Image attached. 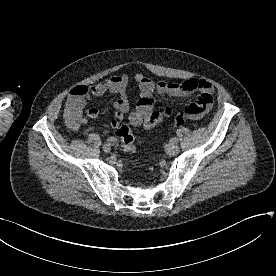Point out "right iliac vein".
Returning a JSON list of instances; mask_svg holds the SVG:
<instances>
[{
    "label": "right iliac vein",
    "mask_w": 276,
    "mask_h": 276,
    "mask_svg": "<svg viewBox=\"0 0 276 276\" xmlns=\"http://www.w3.org/2000/svg\"><path fill=\"white\" fill-rule=\"evenodd\" d=\"M103 150H104L106 153L110 152V151H111V145H110L109 143L104 144Z\"/></svg>",
    "instance_id": "63e3f726"
}]
</instances>
